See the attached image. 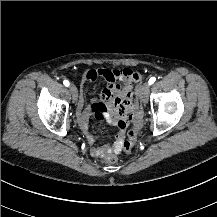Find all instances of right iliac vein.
<instances>
[{
    "label": "right iliac vein",
    "instance_id": "63e3f726",
    "mask_svg": "<svg viewBox=\"0 0 217 217\" xmlns=\"http://www.w3.org/2000/svg\"><path fill=\"white\" fill-rule=\"evenodd\" d=\"M69 90H70V92L72 94L73 102H76L77 99H78V90H77V88L74 85H70Z\"/></svg>",
    "mask_w": 217,
    "mask_h": 217
}]
</instances>
